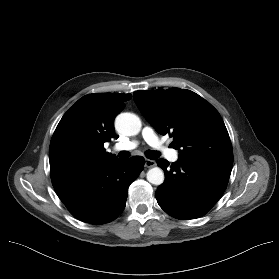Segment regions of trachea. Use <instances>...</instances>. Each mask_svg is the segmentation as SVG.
Here are the masks:
<instances>
[{"mask_svg": "<svg viewBox=\"0 0 279 279\" xmlns=\"http://www.w3.org/2000/svg\"><path fill=\"white\" fill-rule=\"evenodd\" d=\"M145 155L148 159H151V160H154V159H157L160 154L156 151H153V150H147L145 152ZM119 157L121 158H127L130 156V153L128 151H122L118 154Z\"/></svg>", "mask_w": 279, "mask_h": 279, "instance_id": "obj_1", "label": "trachea"}]
</instances>
